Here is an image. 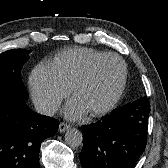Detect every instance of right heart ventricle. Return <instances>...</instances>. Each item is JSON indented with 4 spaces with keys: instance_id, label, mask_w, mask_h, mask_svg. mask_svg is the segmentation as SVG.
<instances>
[{
    "instance_id": "obj_1",
    "label": "right heart ventricle",
    "mask_w": 168,
    "mask_h": 168,
    "mask_svg": "<svg viewBox=\"0 0 168 168\" xmlns=\"http://www.w3.org/2000/svg\"><path fill=\"white\" fill-rule=\"evenodd\" d=\"M104 54L90 48L67 49L58 53L51 65L61 80L71 89L91 62Z\"/></svg>"
}]
</instances>
